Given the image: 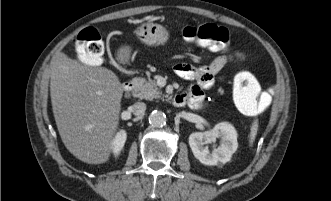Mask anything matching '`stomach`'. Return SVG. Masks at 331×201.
<instances>
[{"mask_svg":"<svg viewBox=\"0 0 331 201\" xmlns=\"http://www.w3.org/2000/svg\"><path fill=\"white\" fill-rule=\"evenodd\" d=\"M135 34L141 42L149 46L163 45L169 39L168 31L163 26L152 22H144L139 25L135 29ZM130 52L129 47H123L119 54L121 60L127 59Z\"/></svg>","mask_w":331,"mask_h":201,"instance_id":"obj_1","label":"stomach"}]
</instances>
